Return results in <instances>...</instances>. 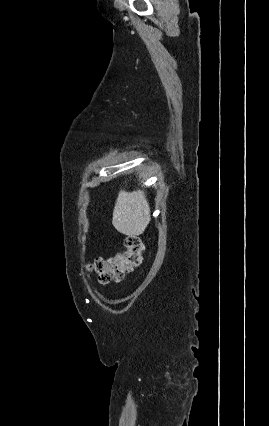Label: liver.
Masks as SVG:
<instances>
[{"mask_svg":"<svg viewBox=\"0 0 269 426\" xmlns=\"http://www.w3.org/2000/svg\"><path fill=\"white\" fill-rule=\"evenodd\" d=\"M151 211L143 190H120L113 210L114 228L127 236L143 234L151 220Z\"/></svg>","mask_w":269,"mask_h":426,"instance_id":"liver-1","label":"liver"}]
</instances>
